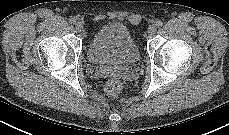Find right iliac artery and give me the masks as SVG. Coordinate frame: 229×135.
<instances>
[{
	"label": "right iliac artery",
	"mask_w": 229,
	"mask_h": 135,
	"mask_svg": "<svg viewBox=\"0 0 229 135\" xmlns=\"http://www.w3.org/2000/svg\"><path fill=\"white\" fill-rule=\"evenodd\" d=\"M69 22H70L71 24H75V23H76V19H75V18H71V19L69 20Z\"/></svg>",
	"instance_id": "right-iliac-artery-1"
}]
</instances>
